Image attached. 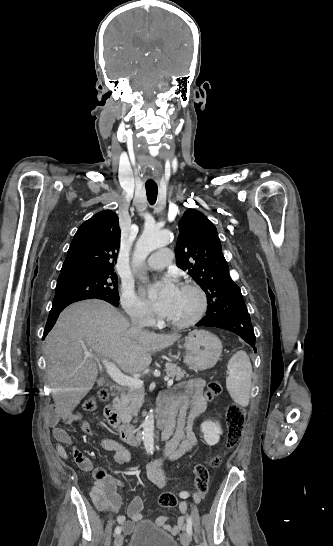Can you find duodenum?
<instances>
[{"label": "duodenum", "mask_w": 333, "mask_h": 546, "mask_svg": "<svg viewBox=\"0 0 333 546\" xmlns=\"http://www.w3.org/2000/svg\"><path fill=\"white\" fill-rule=\"evenodd\" d=\"M120 388L118 386L111 387L112 400L104 410V415L108 425L115 431L118 438L129 445H139L142 441V435L140 428L133 425L122 424L120 413L118 411V399L120 396ZM158 426L161 429L162 435H164L167 427V422L164 417L158 420Z\"/></svg>", "instance_id": "410a0bca"}]
</instances>
